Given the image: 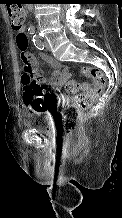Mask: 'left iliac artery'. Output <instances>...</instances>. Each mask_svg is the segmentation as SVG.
Returning a JSON list of instances; mask_svg holds the SVG:
<instances>
[{
	"instance_id": "44dca946",
	"label": "left iliac artery",
	"mask_w": 122,
	"mask_h": 218,
	"mask_svg": "<svg viewBox=\"0 0 122 218\" xmlns=\"http://www.w3.org/2000/svg\"><path fill=\"white\" fill-rule=\"evenodd\" d=\"M33 42H34V45H35V47H36L37 49H39V50H44V45H43L41 39L39 38V36L34 35V36H33Z\"/></svg>"
}]
</instances>
